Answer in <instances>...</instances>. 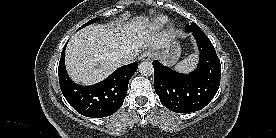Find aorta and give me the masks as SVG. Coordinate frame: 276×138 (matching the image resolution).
<instances>
[{
  "mask_svg": "<svg viewBox=\"0 0 276 138\" xmlns=\"http://www.w3.org/2000/svg\"><path fill=\"white\" fill-rule=\"evenodd\" d=\"M138 69H139L140 74L143 76H146V77L152 75L154 72L152 63L148 62V61L142 62L139 65Z\"/></svg>",
  "mask_w": 276,
  "mask_h": 138,
  "instance_id": "aorta-1",
  "label": "aorta"
}]
</instances>
